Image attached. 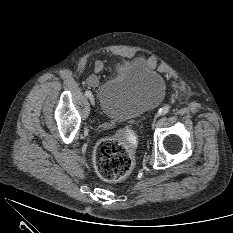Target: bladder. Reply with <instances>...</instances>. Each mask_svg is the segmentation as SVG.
<instances>
[{"instance_id":"31cf9c89","label":"bladder","mask_w":233,"mask_h":233,"mask_svg":"<svg viewBox=\"0 0 233 233\" xmlns=\"http://www.w3.org/2000/svg\"><path fill=\"white\" fill-rule=\"evenodd\" d=\"M166 94L161 74L142 59L119 65L113 78L98 87L101 112L115 121H127L158 106Z\"/></svg>"}]
</instances>
